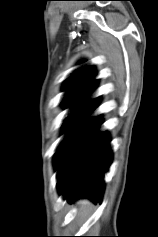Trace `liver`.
<instances>
[{
    "label": "liver",
    "mask_w": 158,
    "mask_h": 237,
    "mask_svg": "<svg viewBox=\"0 0 158 237\" xmlns=\"http://www.w3.org/2000/svg\"><path fill=\"white\" fill-rule=\"evenodd\" d=\"M78 213L85 217L89 211L90 202L88 200H79L77 201Z\"/></svg>",
    "instance_id": "liver-1"
}]
</instances>
